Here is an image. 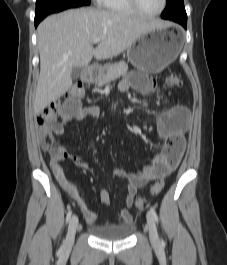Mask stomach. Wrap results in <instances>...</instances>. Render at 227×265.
Here are the masks:
<instances>
[{
    "mask_svg": "<svg viewBox=\"0 0 227 265\" xmlns=\"http://www.w3.org/2000/svg\"><path fill=\"white\" fill-rule=\"evenodd\" d=\"M181 47L182 41L179 32L157 29L136 39L128 47L127 57L138 70L156 74L175 61ZM104 68L100 69L92 79L98 80Z\"/></svg>",
    "mask_w": 227,
    "mask_h": 265,
    "instance_id": "stomach-1",
    "label": "stomach"
}]
</instances>
